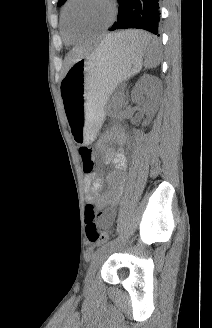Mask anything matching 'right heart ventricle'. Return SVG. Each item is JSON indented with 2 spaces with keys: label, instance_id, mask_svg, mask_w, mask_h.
<instances>
[{
  "label": "right heart ventricle",
  "instance_id": "obj_1",
  "mask_svg": "<svg viewBox=\"0 0 212 328\" xmlns=\"http://www.w3.org/2000/svg\"><path fill=\"white\" fill-rule=\"evenodd\" d=\"M61 30H62V34L64 37V41L67 44L73 45L79 40V37H75V36L71 35V33H69L68 30L66 29L64 18H63V13H62V18H61Z\"/></svg>",
  "mask_w": 212,
  "mask_h": 328
}]
</instances>
